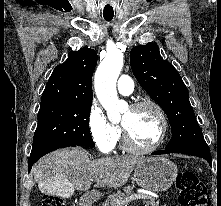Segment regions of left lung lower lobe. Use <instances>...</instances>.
<instances>
[{
  "label": "left lung lower lobe",
  "instance_id": "left-lung-lower-lobe-1",
  "mask_svg": "<svg viewBox=\"0 0 221 206\" xmlns=\"http://www.w3.org/2000/svg\"><path fill=\"white\" fill-rule=\"evenodd\" d=\"M167 153H182V154H188L193 156L202 157L207 160L210 166H212V158L209 151H202V150H159L152 153V155H160V154H167Z\"/></svg>",
  "mask_w": 221,
  "mask_h": 206
}]
</instances>
